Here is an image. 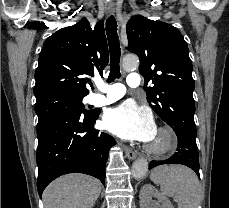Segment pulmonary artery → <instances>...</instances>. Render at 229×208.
I'll return each mask as SVG.
<instances>
[{"instance_id":"e3ab8cb5","label":"pulmonary artery","mask_w":229,"mask_h":208,"mask_svg":"<svg viewBox=\"0 0 229 208\" xmlns=\"http://www.w3.org/2000/svg\"><path fill=\"white\" fill-rule=\"evenodd\" d=\"M141 75L136 72L129 73L126 76V83L129 87H138L141 84ZM99 93L91 94L89 97L90 103L96 106L109 104L125 94V86L120 83L108 85L102 80L96 83Z\"/></svg>"}]
</instances>
